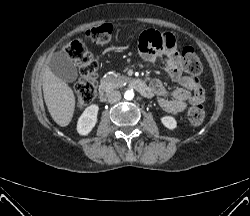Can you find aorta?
I'll return each mask as SVG.
<instances>
[{
	"mask_svg": "<svg viewBox=\"0 0 250 216\" xmlns=\"http://www.w3.org/2000/svg\"><path fill=\"white\" fill-rule=\"evenodd\" d=\"M126 100H132L134 98V92L132 90H127L124 94Z\"/></svg>",
	"mask_w": 250,
	"mask_h": 216,
	"instance_id": "1",
	"label": "aorta"
}]
</instances>
